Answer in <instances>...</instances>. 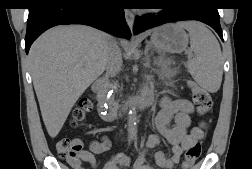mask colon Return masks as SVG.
Wrapping results in <instances>:
<instances>
[{
    "label": "colon",
    "mask_w": 252,
    "mask_h": 169,
    "mask_svg": "<svg viewBox=\"0 0 252 169\" xmlns=\"http://www.w3.org/2000/svg\"><path fill=\"white\" fill-rule=\"evenodd\" d=\"M193 103L200 115L208 114L212 109V98L209 92L202 89L195 83H190ZM92 108L91 98L85 97L73 112L72 124L77 125L82 121L87 112ZM82 142L78 139L62 138L56 143V151L62 159L66 160L73 167L80 165V152L82 150ZM201 155L200 143H195L187 148L183 161L182 169H190Z\"/></svg>",
    "instance_id": "colon-1"
}]
</instances>
